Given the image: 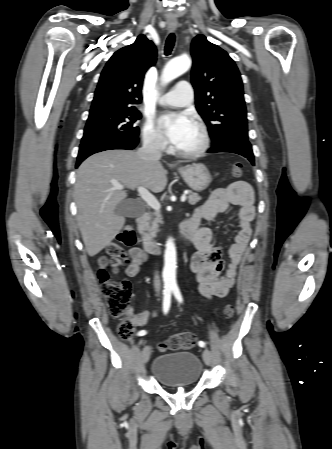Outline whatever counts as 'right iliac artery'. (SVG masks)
I'll list each match as a JSON object with an SVG mask.
<instances>
[{"label": "right iliac artery", "instance_id": "82829eb1", "mask_svg": "<svg viewBox=\"0 0 332 449\" xmlns=\"http://www.w3.org/2000/svg\"><path fill=\"white\" fill-rule=\"evenodd\" d=\"M171 293H172V289L171 287H165L164 291H163V311L166 314L169 311L170 308V304H171ZM146 331L145 330H141L137 333L138 336H144L146 335Z\"/></svg>", "mask_w": 332, "mask_h": 449}]
</instances>
